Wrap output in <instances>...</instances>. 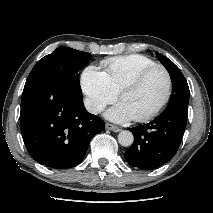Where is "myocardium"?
Segmentation results:
<instances>
[{
	"instance_id": "1",
	"label": "myocardium",
	"mask_w": 213,
	"mask_h": 213,
	"mask_svg": "<svg viewBox=\"0 0 213 213\" xmlns=\"http://www.w3.org/2000/svg\"><path fill=\"white\" fill-rule=\"evenodd\" d=\"M156 70H161L166 75V78H167L166 93H165L162 101L154 109H152L151 111H149L148 113H146L142 116L134 117L133 120L136 122H145V121L152 119L153 117L158 115L163 110V108L167 105V103L171 97L172 89H173V79H172L171 73L169 72V70L166 67L156 64L154 66L145 68V69L141 70L140 72H138L131 79H129L118 91V98H119V100H121V97L125 92L138 86L148 74H150L151 72L156 71Z\"/></svg>"
}]
</instances>
